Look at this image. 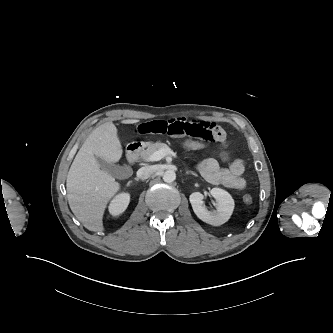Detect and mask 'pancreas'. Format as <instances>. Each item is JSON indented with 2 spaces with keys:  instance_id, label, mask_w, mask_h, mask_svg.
Segmentation results:
<instances>
[{
  "instance_id": "cf45deb5",
  "label": "pancreas",
  "mask_w": 333,
  "mask_h": 333,
  "mask_svg": "<svg viewBox=\"0 0 333 333\" xmlns=\"http://www.w3.org/2000/svg\"><path fill=\"white\" fill-rule=\"evenodd\" d=\"M164 148H169V146L167 144L161 143V142L151 143L148 145L146 150H143L141 152V157L146 160L154 152H156L160 149H164Z\"/></svg>"
}]
</instances>
